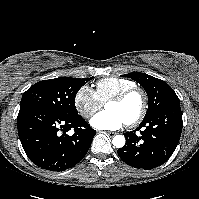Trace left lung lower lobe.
Returning a JSON list of instances; mask_svg holds the SVG:
<instances>
[{"label": "left lung lower lobe", "mask_w": 199, "mask_h": 199, "mask_svg": "<svg viewBox=\"0 0 199 199\" xmlns=\"http://www.w3.org/2000/svg\"><path fill=\"white\" fill-rule=\"evenodd\" d=\"M180 105L169 106L144 118L136 131L124 133L126 144L119 157L135 168L152 169L164 164L175 151L182 132Z\"/></svg>", "instance_id": "obj_1"}]
</instances>
